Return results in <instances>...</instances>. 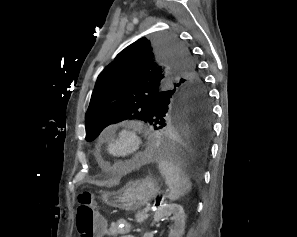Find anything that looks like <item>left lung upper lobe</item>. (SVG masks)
<instances>
[{"label": "left lung upper lobe", "instance_id": "1", "mask_svg": "<svg viewBox=\"0 0 297 237\" xmlns=\"http://www.w3.org/2000/svg\"><path fill=\"white\" fill-rule=\"evenodd\" d=\"M194 100L209 96L187 48L173 35L142 37L99 74L85 115L86 140L125 119L157 130L174 103Z\"/></svg>", "mask_w": 297, "mask_h": 237}]
</instances>
